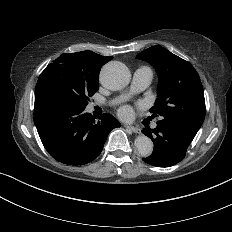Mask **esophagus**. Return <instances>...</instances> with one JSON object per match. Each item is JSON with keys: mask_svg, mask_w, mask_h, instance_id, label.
Listing matches in <instances>:
<instances>
[{"mask_svg": "<svg viewBox=\"0 0 232 232\" xmlns=\"http://www.w3.org/2000/svg\"><path fill=\"white\" fill-rule=\"evenodd\" d=\"M126 128L129 129L130 131L136 133V134L141 133V129L140 128H137V127H134V126H126Z\"/></svg>", "mask_w": 232, "mask_h": 232, "instance_id": "obj_1", "label": "esophagus"}]
</instances>
